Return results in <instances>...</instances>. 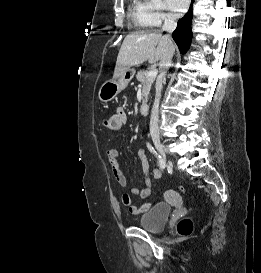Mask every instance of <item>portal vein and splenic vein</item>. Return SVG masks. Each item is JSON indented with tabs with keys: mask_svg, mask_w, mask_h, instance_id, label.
<instances>
[{
	"mask_svg": "<svg viewBox=\"0 0 261 273\" xmlns=\"http://www.w3.org/2000/svg\"><path fill=\"white\" fill-rule=\"evenodd\" d=\"M157 73H158L157 69L156 68H152L151 70H149L147 76L148 77H156Z\"/></svg>",
	"mask_w": 261,
	"mask_h": 273,
	"instance_id": "18ae733b",
	"label": "portal vein and splenic vein"
}]
</instances>
